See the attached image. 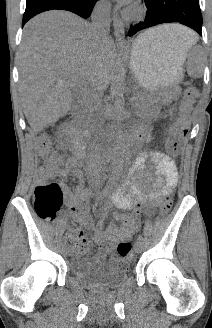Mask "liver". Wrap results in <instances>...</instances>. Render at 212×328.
<instances>
[{"label":"liver","mask_w":212,"mask_h":328,"mask_svg":"<svg viewBox=\"0 0 212 328\" xmlns=\"http://www.w3.org/2000/svg\"><path fill=\"white\" fill-rule=\"evenodd\" d=\"M184 49L196 34L181 25L146 31ZM185 61V60H184ZM114 67V44L92 25L66 11H47L24 27L19 52L20 92L24 114L35 133L66 115L73 98L83 95L92 78L108 86Z\"/></svg>","instance_id":"1"}]
</instances>
